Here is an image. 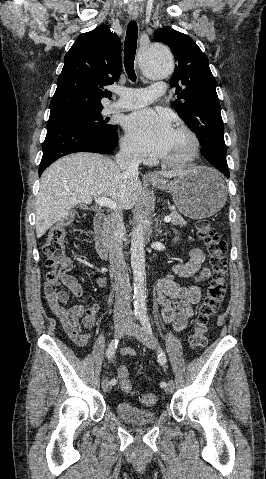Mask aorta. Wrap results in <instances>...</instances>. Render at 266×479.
Segmentation results:
<instances>
[{"label":"aorta","instance_id":"obj_1","mask_svg":"<svg viewBox=\"0 0 266 479\" xmlns=\"http://www.w3.org/2000/svg\"><path fill=\"white\" fill-rule=\"evenodd\" d=\"M138 63L149 78L165 79L174 69L173 56L168 47L153 43L142 48L138 55ZM146 209L149 203L145 202ZM146 226L150 225L146 223ZM131 267L134 280V307L137 314L146 313V271H145V242L141 226H136L131 238Z\"/></svg>","mask_w":266,"mask_h":479}]
</instances>
